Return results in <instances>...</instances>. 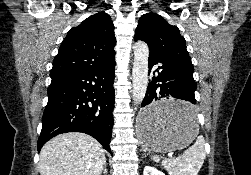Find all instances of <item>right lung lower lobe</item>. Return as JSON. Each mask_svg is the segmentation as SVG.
Listing matches in <instances>:
<instances>
[{"label": "right lung lower lobe", "instance_id": "obj_1", "mask_svg": "<svg viewBox=\"0 0 251 175\" xmlns=\"http://www.w3.org/2000/svg\"><path fill=\"white\" fill-rule=\"evenodd\" d=\"M115 61L109 65L76 71L52 78L48 103L42 117L38 151L52 137L83 132L111 152Z\"/></svg>", "mask_w": 251, "mask_h": 175}]
</instances>
